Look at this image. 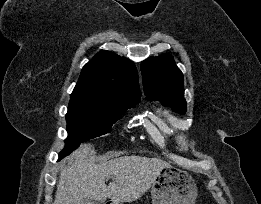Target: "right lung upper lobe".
I'll list each match as a JSON object with an SVG mask.
<instances>
[{
  "instance_id": "obj_1",
  "label": "right lung upper lobe",
  "mask_w": 261,
  "mask_h": 204,
  "mask_svg": "<svg viewBox=\"0 0 261 204\" xmlns=\"http://www.w3.org/2000/svg\"><path fill=\"white\" fill-rule=\"evenodd\" d=\"M138 73L133 62L110 51L96 54L81 71L71 94L99 104H131L140 101Z\"/></svg>"
}]
</instances>
